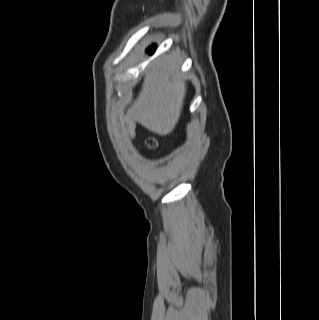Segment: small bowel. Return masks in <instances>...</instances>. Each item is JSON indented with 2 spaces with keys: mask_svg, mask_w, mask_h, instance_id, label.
Returning a JSON list of instances; mask_svg holds the SVG:
<instances>
[{
  "mask_svg": "<svg viewBox=\"0 0 319 320\" xmlns=\"http://www.w3.org/2000/svg\"><path fill=\"white\" fill-rule=\"evenodd\" d=\"M126 132L130 139H134L135 122L132 119L126 120Z\"/></svg>",
  "mask_w": 319,
  "mask_h": 320,
  "instance_id": "small-bowel-1",
  "label": "small bowel"
}]
</instances>
